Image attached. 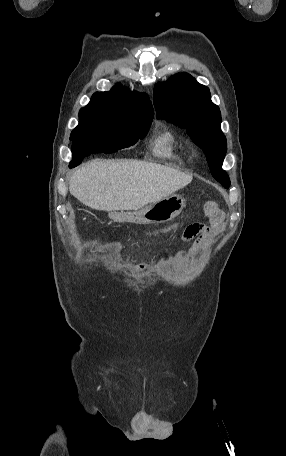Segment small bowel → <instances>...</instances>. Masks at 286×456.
Returning a JSON list of instances; mask_svg holds the SVG:
<instances>
[{
	"label": "small bowel",
	"instance_id": "c3829d8e",
	"mask_svg": "<svg viewBox=\"0 0 286 456\" xmlns=\"http://www.w3.org/2000/svg\"><path fill=\"white\" fill-rule=\"evenodd\" d=\"M208 214L210 215V217L212 219V224L214 226H219L220 224H222V222L224 220V216L220 210L215 209L213 211L208 212ZM176 227H177L176 224L171 225V226L165 227L163 229L154 230V231H152V234L167 233V232L174 230ZM208 236H209L208 229L205 228L203 225L193 224L191 226H188L185 229V232L183 234V241L187 242V241L194 239V243L191 246V248L189 249L188 255L195 256L199 252V250L202 248V246L205 244V242L207 241ZM184 255H185V252L183 250H181L178 253L177 257L179 259H181ZM145 267H146V264L141 263L137 266L136 270L138 272H140V271L144 270Z\"/></svg>",
	"mask_w": 286,
	"mask_h": 456
}]
</instances>
